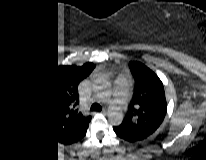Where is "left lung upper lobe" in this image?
<instances>
[{
	"label": "left lung upper lobe",
	"instance_id": "obj_1",
	"mask_svg": "<svg viewBox=\"0 0 206 160\" xmlns=\"http://www.w3.org/2000/svg\"><path fill=\"white\" fill-rule=\"evenodd\" d=\"M129 67L135 79V90L118 128L146 137L155 132L165 117V92L161 80L149 68L136 62H130Z\"/></svg>",
	"mask_w": 206,
	"mask_h": 160
}]
</instances>
